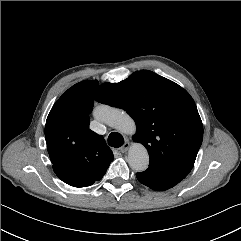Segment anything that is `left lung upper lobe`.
Listing matches in <instances>:
<instances>
[{"instance_id": "left-lung-upper-lobe-1", "label": "left lung upper lobe", "mask_w": 241, "mask_h": 241, "mask_svg": "<svg viewBox=\"0 0 241 241\" xmlns=\"http://www.w3.org/2000/svg\"><path fill=\"white\" fill-rule=\"evenodd\" d=\"M96 100L124 109L135 120L133 140L147 148L149 168L181 178L189 174L203 125L194 100L181 86L141 70L119 83L100 85Z\"/></svg>"}]
</instances>
